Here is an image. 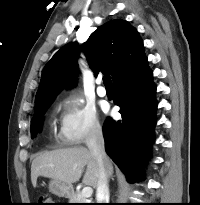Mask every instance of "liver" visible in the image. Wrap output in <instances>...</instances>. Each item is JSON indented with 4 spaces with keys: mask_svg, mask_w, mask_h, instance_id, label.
I'll return each mask as SVG.
<instances>
[{
    "mask_svg": "<svg viewBox=\"0 0 200 205\" xmlns=\"http://www.w3.org/2000/svg\"><path fill=\"white\" fill-rule=\"evenodd\" d=\"M86 166L83 184L96 188L99 180V168L96 158L85 147H74L44 152L36 156L31 165V181L36 186L39 176L59 180L72 186L79 181ZM108 177L113 166L107 161Z\"/></svg>",
    "mask_w": 200,
    "mask_h": 205,
    "instance_id": "obj_1",
    "label": "liver"
}]
</instances>
